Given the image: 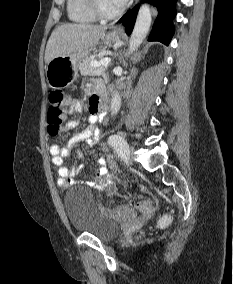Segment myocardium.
Returning <instances> with one entry per match:
<instances>
[{"label":"myocardium","mask_w":233,"mask_h":284,"mask_svg":"<svg viewBox=\"0 0 233 284\" xmlns=\"http://www.w3.org/2000/svg\"><path fill=\"white\" fill-rule=\"evenodd\" d=\"M88 1H89V7L92 13L98 19L111 20V19L118 17L123 12V8L121 7L111 12L104 10L100 0H88Z\"/></svg>","instance_id":"1"}]
</instances>
